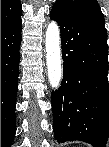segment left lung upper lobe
Returning <instances> with one entry per match:
<instances>
[{
	"label": "left lung upper lobe",
	"mask_w": 109,
	"mask_h": 147,
	"mask_svg": "<svg viewBox=\"0 0 109 147\" xmlns=\"http://www.w3.org/2000/svg\"><path fill=\"white\" fill-rule=\"evenodd\" d=\"M54 6L60 7L87 21L88 23L105 30L104 16L96 0H57ZM66 85L71 91H77L81 84L78 72H70L65 76Z\"/></svg>",
	"instance_id": "obj_1"
}]
</instances>
